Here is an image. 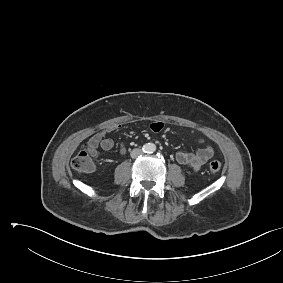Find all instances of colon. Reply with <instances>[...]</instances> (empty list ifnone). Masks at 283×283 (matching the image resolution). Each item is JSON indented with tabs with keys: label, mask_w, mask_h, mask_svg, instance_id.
<instances>
[{
	"label": "colon",
	"mask_w": 283,
	"mask_h": 283,
	"mask_svg": "<svg viewBox=\"0 0 283 283\" xmlns=\"http://www.w3.org/2000/svg\"><path fill=\"white\" fill-rule=\"evenodd\" d=\"M71 166L78 172H91L94 168L93 153L88 143H86L73 157ZM221 163L217 160H213L209 164L211 172L216 173L221 169Z\"/></svg>",
	"instance_id": "1"
}]
</instances>
